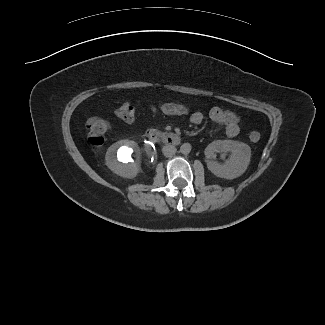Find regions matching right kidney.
<instances>
[{
	"label": "right kidney",
	"mask_w": 325,
	"mask_h": 325,
	"mask_svg": "<svg viewBox=\"0 0 325 325\" xmlns=\"http://www.w3.org/2000/svg\"><path fill=\"white\" fill-rule=\"evenodd\" d=\"M105 160L106 165L114 173L124 178L134 177L141 170L140 149L132 140L124 139L111 145L106 152Z\"/></svg>",
	"instance_id": "1"
}]
</instances>
